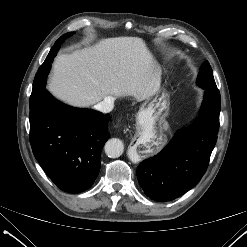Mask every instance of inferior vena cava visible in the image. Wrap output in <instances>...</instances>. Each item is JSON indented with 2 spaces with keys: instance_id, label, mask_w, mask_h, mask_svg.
<instances>
[{
  "instance_id": "602c4592",
  "label": "inferior vena cava",
  "mask_w": 247,
  "mask_h": 247,
  "mask_svg": "<svg viewBox=\"0 0 247 247\" xmlns=\"http://www.w3.org/2000/svg\"><path fill=\"white\" fill-rule=\"evenodd\" d=\"M114 98L111 96L106 97L101 102L97 103L94 108L102 113H109L113 110Z\"/></svg>"
}]
</instances>
